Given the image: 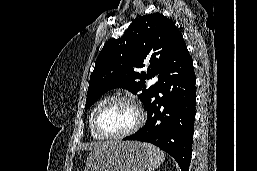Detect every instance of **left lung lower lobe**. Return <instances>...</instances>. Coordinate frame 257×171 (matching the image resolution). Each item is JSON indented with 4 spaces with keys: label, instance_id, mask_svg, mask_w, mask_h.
Masks as SVG:
<instances>
[{
    "label": "left lung lower lobe",
    "instance_id": "left-lung-lower-lobe-1",
    "mask_svg": "<svg viewBox=\"0 0 257 171\" xmlns=\"http://www.w3.org/2000/svg\"><path fill=\"white\" fill-rule=\"evenodd\" d=\"M195 83L193 62L184 46L171 54L159 76L156 90L146 105L148 117L145 126L123 140L150 142L171 155L181 171H189Z\"/></svg>",
    "mask_w": 257,
    "mask_h": 171
}]
</instances>
